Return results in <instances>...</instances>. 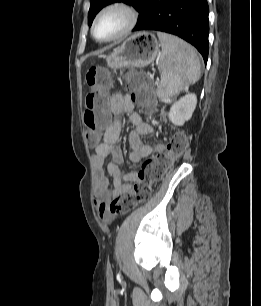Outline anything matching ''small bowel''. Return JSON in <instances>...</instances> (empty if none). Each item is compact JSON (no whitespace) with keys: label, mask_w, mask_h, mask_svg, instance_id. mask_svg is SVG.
<instances>
[{"label":"small bowel","mask_w":261,"mask_h":306,"mask_svg":"<svg viewBox=\"0 0 261 306\" xmlns=\"http://www.w3.org/2000/svg\"><path fill=\"white\" fill-rule=\"evenodd\" d=\"M110 109L113 114H129V120L134 125L135 130L129 135L131 151L129 159L133 163L140 162L148 157L152 152L160 151L163 146L160 143L146 144L142 137L156 133L155 128L144 122L141 116L135 112L134 102L129 95L121 92H114L110 96ZM122 125L119 119H115L105 130L103 141L95 148L93 156L95 193L94 203L97 207L98 215L102 221H109V201L123 192L130 191L132 183L136 180V172H122L120 165L124 161V156L119 145ZM109 160V162H107ZM111 177L112 181L109 180Z\"/></svg>","instance_id":"small-bowel-1"}]
</instances>
